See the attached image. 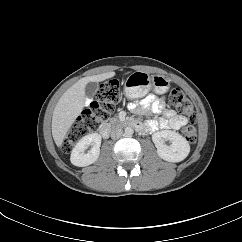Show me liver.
Instances as JSON below:
<instances>
[{
	"mask_svg": "<svg viewBox=\"0 0 242 242\" xmlns=\"http://www.w3.org/2000/svg\"><path fill=\"white\" fill-rule=\"evenodd\" d=\"M115 76V72H106L84 77L72 85L59 99L52 116V136L61 147L66 134L85 105V88L90 82H101Z\"/></svg>",
	"mask_w": 242,
	"mask_h": 242,
	"instance_id": "obj_1",
	"label": "liver"
}]
</instances>
